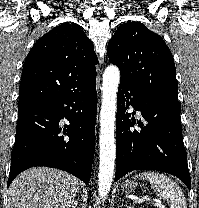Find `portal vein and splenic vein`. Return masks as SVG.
<instances>
[{
	"instance_id": "portal-vein-and-splenic-vein-1",
	"label": "portal vein and splenic vein",
	"mask_w": 199,
	"mask_h": 208,
	"mask_svg": "<svg viewBox=\"0 0 199 208\" xmlns=\"http://www.w3.org/2000/svg\"><path fill=\"white\" fill-rule=\"evenodd\" d=\"M143 201V199H142ZM154 206L157 208H165L164 205L159 200H154Z\"/></svg>"
}]
</instances>
